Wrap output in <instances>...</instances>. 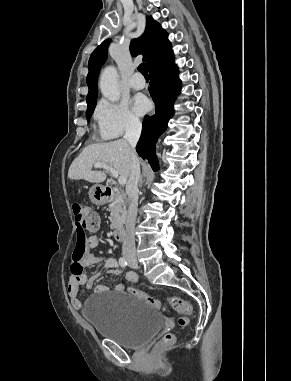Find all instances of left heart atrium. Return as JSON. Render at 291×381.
I'll list each match as a JSON object with an SVG mask.
<instances>
[{"label":"left heart atrium","instance_id":"left-heart-atrium-1","mask_svg":"<svg viewBox=\"0 0 291 381\" xmlns=\"http://www.w3.org/2000/svg\"><path fill=\"white\" fill-rule=\"evenodd\" d=\"M134 109L138 114H144L150 109V102L143 95H137L134 98Z\"/></svg>","mask_w":291,"mask_h":381}]
</instances>
